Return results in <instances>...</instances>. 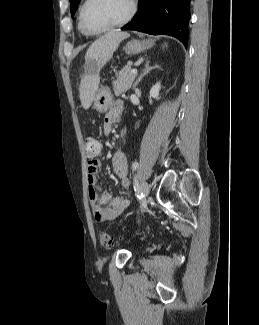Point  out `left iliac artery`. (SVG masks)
I'll return each mask as SVG.
<instances>
[{"instance_id":"44dca946","label":"left iliac artery","mask_w":259,"mask_h":325,"mask_svg":"<svg viewBox=\"0 0 259 325\" xmlns=\"http://www.w3.org/2000/svg\"><path fill=\"white\" fill-rule=\"evenodd\" d=\"M138 167H139L138 162H133L132 163V170H134L135 168H138Z\"/></svg>"}]
</instances>
